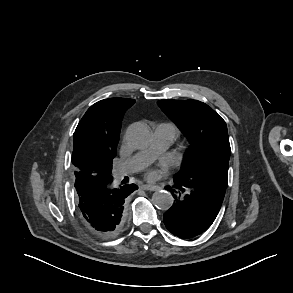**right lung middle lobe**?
<instances>
[{
	"instance_id": "dd1d6c3e",
	"label": "right lung middle lobe",
	"mask_w": 293,
	"mask_h": 293,
	"mask_svg": "<svg viewBox=\"0 0 293 293\" xmlns=\"http://www.w3.org/2000/svg\"><path fill=\"white\" fill-rule=\"evenodd\" d=\"M112 161L113 159H106L102 161H97L94 163L95 173L94 175H103L109 176L112 170Z\"/></svg>"
}]
</instances>
